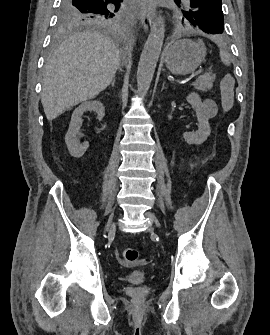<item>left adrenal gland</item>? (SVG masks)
<instances>
[{
    "label": "left adrenal gland",
    "mask_w": 270,
    "mask_h": 335,
    "mask_svg": "<svg viewBox=\"0 0 270 335\" xmlns=\"http://www.w3.org/2000/svg\"><path fill=\"white\" fill-rule=\"evenodd\" d=\"M163 90H165V82L162 84L161 92H163Z\"/></svg>",
    "instance_id": "obj_1"
}]
</instances>
